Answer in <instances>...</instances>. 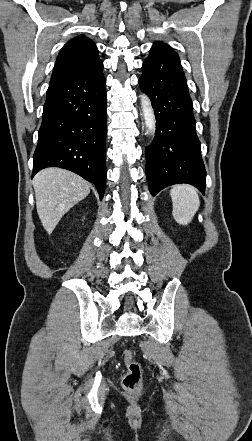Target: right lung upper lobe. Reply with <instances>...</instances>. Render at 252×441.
<instances>
[{"label": "right lung upper lobe", "mask_w": 252, "mask_h": 441, "mask_svg": "<svg viewBox=\"0 0 252 441\" xmlns=\"http://www.w3.org/2000/svg\"><path fill=\"white\" fill-rule=\"evenodd\" d=\"M102 62L95 43L84 35L68 41L59 52L50 83L91 69Z\"/></svg>", "instance_id": "right-lung-upper-lobe-1"}]
</instances>
